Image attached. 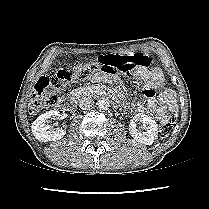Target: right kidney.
I'll list each match as a JSON object with an SVG mask.
<instances>
[{
	"label": "right kidney",
	"mask_w": 209,
	"mask_h": 209,
	"mask_svg": "<svg viewBox=\"0 0 209 209\" xmlns=\"http://www.w3.org/2000/svg\"><path fill=\"white\" fill-rule=\"evenodd\" d=\"M60 112L58 110L48 111L40 115L32 124V133L35 138L42 142L56 141L61 139L65 134L66 130H49L51 127L48 125L50 120L60 118Z\"/></svg>",
	"instance_id": "1"
}]
</instances>
